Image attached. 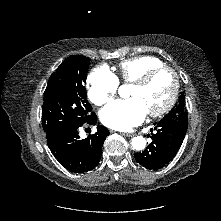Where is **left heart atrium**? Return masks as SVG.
<instances>
[{
    "instance_id": "obj_1",
    "label": "left heart atrium",
    "mask_w": 221,
    "mask_h": 221,
    "mask_svg": "<svg viewBox=\"0 0 221 221\" xmlns=\"http://www.w3.org/2000/svg\"><path fill=\"white\" fill-rule=\"evenodd\" d=\"M147 110L138 98L116 100L108 104L100 112L101 122L112 129L126 131L140 124Z\"/></svg>"
}]
</instances>
